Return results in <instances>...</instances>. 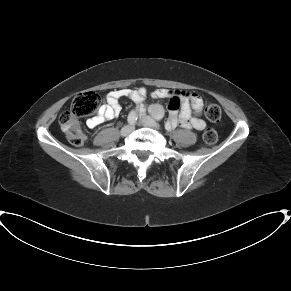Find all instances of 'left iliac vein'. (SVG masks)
<instances>
[{
	"mask_svg": "<svg viewBox=\"0 0 291 291\" xmlns=\"http://www.w3.org/2000/svg\"><path fill=\"white\" fill-rule=\"evenodd\" d=\"M140 124L145 127L159 129V124L150 116H144L143 118H141Z\"/></svg>",
	"mask_w": 291,
	"mask_h": 291,
	"instance_id": "1",
	"label": "left iliac vein"
}]
</instances>
